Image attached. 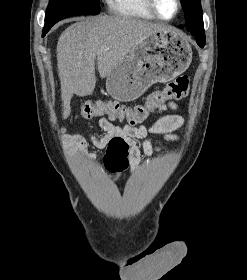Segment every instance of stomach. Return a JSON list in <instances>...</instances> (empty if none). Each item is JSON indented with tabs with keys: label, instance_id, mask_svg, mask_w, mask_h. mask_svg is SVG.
<instances>
[{
	"label": "stomach",
	"instance_id": "1",
	"mask_svg": "<svg viewBox=\"0 0 247 280\" xmlns=\"http://www.w3.org/2000/svg\"><path fill=\"white\" fill-rule=\"evenodd\" d=\"M191 61V46L181 34L172 30L154 33L118 62L107 77V92L115 100L133 101L152 84L182 74Z\"/></svg>",
	"mask_w": 247,
	"mask_h": 280
}]
</instances>
